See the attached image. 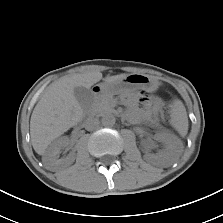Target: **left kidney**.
Segmentation results:
<instances>
[{
    "label": "left kidney",
    "mask_w": 223,
    "mask_h": 223,
    "mask_svg": "<svg viewBox=\"0 0 223 223\" xmlns=\"http://www.w3.org/2000/svg\"><path fill=\"white\" fill-rule=\"evenodd\" d=\"M155 139L161 142L164 148L157 154L147 152L144 158L155 165L170 166L176 163L183 151L181 142L167 133H158Z\"/></svg>",
    "instance_id": "left-kidney-1"
}]
</instances>
